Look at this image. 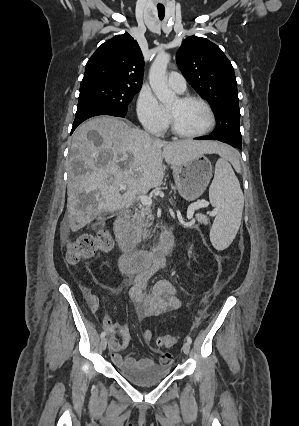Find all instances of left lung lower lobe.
Masks as SVG:
<instances>
[{
  "mask_svg": "<svg viewBox=\"0 0 299 426\" xmlns=\"http://www.w3.org/2000/svg\"><path fill=\"white\" fill-rule=\"evenodd\" d=\"M195 139H198V140H219V141H222V142L228 143V144H230V145H232V146H234V147H237V148H241V147H242V145H239V144H237V143H235V142L228 141V140H224V139H220V138H216V137H213L212 135H210V136L198 137V138H195Z\"/></svg>",
  "mask_w": 299,
  "mask_h": 426,
  "instance_id": "0a47b994",
  "label": "left lung lower lobe"
}]
</instances>
